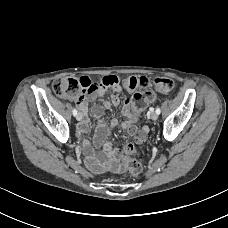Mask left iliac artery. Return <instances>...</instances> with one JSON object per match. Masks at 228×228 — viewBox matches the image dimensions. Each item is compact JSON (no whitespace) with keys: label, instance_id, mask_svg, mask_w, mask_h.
Here are the masks:
<instances>
[{"label":"left iliac artery","instance_id":"left-iliac-artery-1","mask_svg":"<svg viewBox=\"0 0 228 228\" xmlns=\"http://www.w3.org/2000/svg\"><path fill=\"white\" fill-rule=\"evenodd\" d=\"M158 115L161 113V110L159 107L156 108V111H155Z\"/></svg>","mask_w":228,"mask_h":228}]
</instances>
